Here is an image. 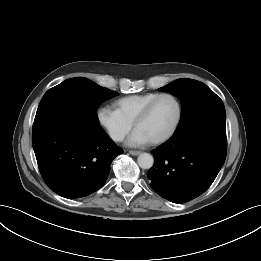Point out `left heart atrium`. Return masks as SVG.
Here are the masks:
<instances>
[{
    "label": "left heart atrium",
    "instance_id": "left-heart-atrium-1",
    "mask_svg": "<svg viewBox=\"0 0 261 261\" xmlns=\"http://www.w3.org/2000/svg\"><path fill=\"white\" fill-rule=\"evenodd\" d=\"M150 143V139L140 130L135 129L126 141L130 147L144 146Z\"/></svg>",
    "mask_w": 261,
    "mask_h": 261
}]
</instances>
